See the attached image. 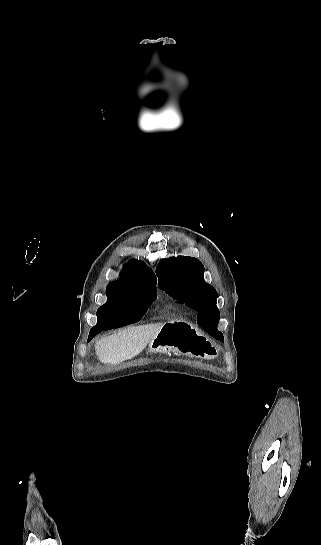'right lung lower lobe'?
<instances>
[{
    "label": "right lung lower lobe",
    "mask_w": 321,
    "mask_h": 545,
    "mask_svg": "<svg viewBox=\"0 0 321 545\" xmlns=\"http://www.w3.org/2000/svg\"><path fill=\"white\" fill-rule=\"evenodd\" d=\"M98 315L105 320L113 321L112 324L99 327L94 326L90 330L88 341L103 330L122 327L134 323L137 315V305L131 302H120L111 305H103L99 308Z\"/></svg>",
    "instance_id": "1"
}]
</instances>
